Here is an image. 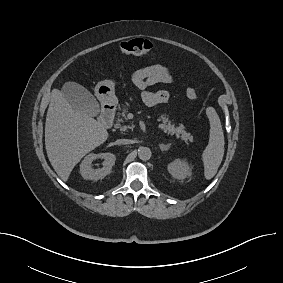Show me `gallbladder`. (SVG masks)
Masks as SVG:
<instances>
[{
    "instance_id": "obj_1",
    "label": "gallbladder",
    "mask_w": 283,
    "mask_h": 283,
    "mask_svg": "<svg viewBox=\"0 0 283 283\" xmlns=\"http://www.w3.org/2000/svg\"><path fill=\"white\" fill-rule=\"evenodd\" d=\"M61 91L74 110L93 117L100 113L98 102L82 85L76 82H66Z\"/></svg>"
}]
</instances>
